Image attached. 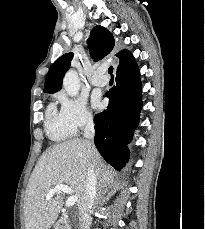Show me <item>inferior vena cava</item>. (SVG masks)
<instances>
[{
	"label": "inferior vena cava",
	"mask_w": 205,
	"mask_h": 229,
	"mask_svg": "<svg viewBox=\"0 0 205 229\" xmlns=\"http://www.w3.org/2000/svg\"><path fill=\"white\" fill-rule=\"evenodd\" d=\"M95 136V129L93 118L91 116L86 119V126L84 130V137L92 140ZM97 177L94 170V165L89 164L87 169V181L85 185L84 194L79 203V226L80 229H89L90 227V216L89 211L94 206L97 198Z\"/></svg>",
	"instance_id": "1"
}]
</instances>
